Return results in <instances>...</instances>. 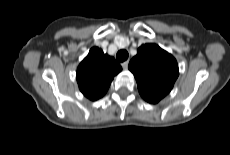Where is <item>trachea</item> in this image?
I'll use <instances>...</instances> for the list:
<instances>
[{
    "instance_id": "3493384b",
    "label": "trachea",
    "mask_w": 230,
    "mask_h": 155,
    "mask_svg": "<svg viewBox=\"0 0 230 155\" xmlns=\"http://www.w3.org/2000/svg\"><path fill=\"white\" fill-rule=\"evenodd\" d=\"M129 54L126 50H120L118 51L116 58L119 62H124L125 60H127Z\"/></svg>"
}]
</instances>
